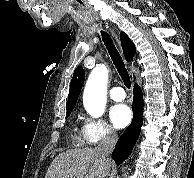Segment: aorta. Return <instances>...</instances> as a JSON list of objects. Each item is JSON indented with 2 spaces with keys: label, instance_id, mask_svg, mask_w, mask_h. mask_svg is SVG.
I'll return each instance as SVG.
<instances>
[{
  "label": "aorta",
  "instance_id": "1",
  "mask_svg": "<svg viewBox=\"0 0 194 178\" xmlns=\"http://www.w3.org/2000/svg\"><path fill=\"white\" fill-rule=\"evenodd\" d=\"M108 69L105 65L94 68L87 80L83 103L86 111L93 117L104 113L107 100Z\"/></svg>",
  "mask_w": 194,
  "mask_h": 178
}]
</instances>
